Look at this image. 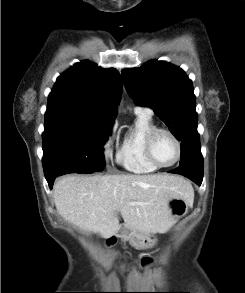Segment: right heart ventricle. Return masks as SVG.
I'll list each match as a JSON object with an SVG mask.
<instances>
[{
  "label": "right heart ventricle",
  "mask_w": 245,
  "mask_h": 293,
  "mask_svg": "<svg viewBox=\"0 0 245 293\" xmlns=\"http://www.w3.org/2000/svg\"><path fill=\"white\" fill-rule=\"evenodd\" d=\"M157 128L151 114L136 113L133 125L125 133L117 162L127 171L137 174L152 173L158 168L145 154V141L148 134Z\"/></svg>",
  "instance_id": "right-heart-ventricle-1"
}]
</instances>
